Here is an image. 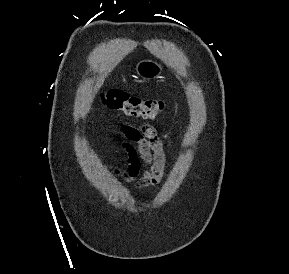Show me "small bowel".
Masks as SVG:
<instances>
[{
  "instance_id": "1",
  "label": "small bowel",
  "mask_w": 289,
  "mask_h": 274,
  "mask_svg": "<svg viewBox=\"0 0 289 274\" xmlns=\"http://www.w3.org/2000/svg\"><path fill=\"white\" fill-rule=\"evenodd\" d=\"M121 148L126 155V168H116L115 175L125 183L135 181L137 189L155 187L163 179L166 166L164 143L156 128L148 123L123 125ZM142 166L144 170H142ZM126 191H129L126 188Z\"/></svg>"
}]
</instances>
